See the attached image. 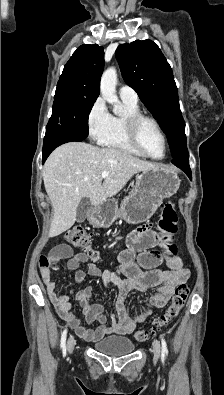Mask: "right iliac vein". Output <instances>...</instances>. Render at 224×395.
<instances>
[{
  "label": "right iliac vein",
  "instance_id": "1",
  "mask_svg": "<svg viewBox=\"0 0 224 395\" xmlns=\"http://www.w3.org/2000/svg\"><path fill=\"white\" fill-rule=\"evenodd\" d=\"M75 346V339L73 336H70L67 341V350L69 353H72Z\"/></svg>",
  "mask_w": 224,
  "mask_h": 395
}]
</instances>
